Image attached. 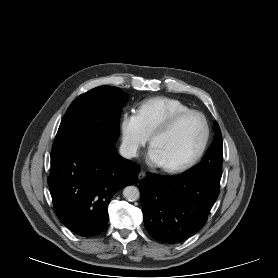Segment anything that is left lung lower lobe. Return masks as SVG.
Here are the masks:
<instances>
[{"instance_id":"left-lung-lower-lobe-1","label":"left lung lower lobe","mask_w":278,"mask_h":278,"mask_svg":"<svg viewBox=\"0 0 278 278\" xmlns=\"http://www.w3.org/2000/svg\"><path fill=\"white\" fill-rule=\"evenodd\" d=\"M220 179L148 175L139 184L145 228L156 240L177 243L203 228L219 195Z\"/></svg>"}]
</instances>
